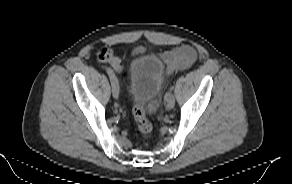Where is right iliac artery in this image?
I'll use <instances>...</instances> for the list:
<instances>
[{"label": "right iliac artery", "mask_w": 292, "mask_h": 184, "mask_svg": "<svg viewBox=\"0 0 292 184\" xmlns=\"http://www.w3.org/2000/svg\"><path fill=\"white\" fill-rule=\"evenodd\" d=\"M106 72L109 75L110 79L115 77L113 70L111 68H106Z\"/></svg>", "instance_id": "right-iliac-artery-1"}]
</instances>
